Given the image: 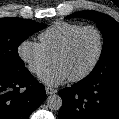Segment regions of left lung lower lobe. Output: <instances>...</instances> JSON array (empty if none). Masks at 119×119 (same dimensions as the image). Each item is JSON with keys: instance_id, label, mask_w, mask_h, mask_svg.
<instances>
[{"instance_id": "left-lung-lower-lobe-1", "label": "left lung lower lobe", "mask_w": 119, "mask_h": 119, "mask_svg": "<svg viewBox=\"0 0 119 119\" xmlns=\"http://www.w3.org/2000/svg\"><path fill=\"white\" fill-rule=\"evenodd\" d=\"M58 119H119V72L87 76L59 91Z\"/></svg>"}]
</instances>
